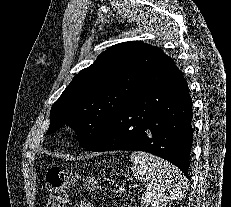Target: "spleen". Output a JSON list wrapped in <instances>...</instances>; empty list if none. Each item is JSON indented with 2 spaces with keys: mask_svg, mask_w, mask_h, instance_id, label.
<instances>
[{
  "mask_svg": "<svg viewBox=\"0 0 231 207\" xmlns=\"http://www.w3.org/2000/svg\"><path fill=\"white\" fill-rule=\"evenodd\" d=\"M131 169L145 183L141 203L145 207H164L180 199L186 191V178L168 162L141 151L132 152Z\"/></svg>",
  "mask_w": 231,
  "mask_h": 207,
  "instance_id": "spleen-1",
  "label": "spleen"
}]
</instances>
